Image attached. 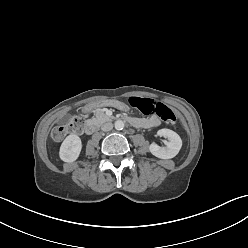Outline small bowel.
<instances>
[{
	"label": "small bowel",
	"mask_w": 248,
	"mask_h": 248,
	"mask_svg": "<svg viewBox=\"0 0 248 248\" xmlns=\"http://www.w3.org/2000/svg\"><path fill=\"white\" fill-rule=\"evenodd\" d=\"M139 124L138 127H144V128H155L159 126L160 120L156 116H152L146 119H138Z\"/></svg>",
	"instance_id": "1"
}]
</instances>
